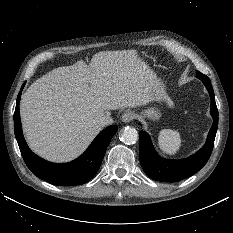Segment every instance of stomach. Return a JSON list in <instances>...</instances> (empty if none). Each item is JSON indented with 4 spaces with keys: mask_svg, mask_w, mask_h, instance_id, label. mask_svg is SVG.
<instances>
[{
    "mask_svg": "<svg viewBox=\"0 0 233 233\" xmlns=\"http://www.w3.org/2000/svg\"><path fill=\"white\" fill-rule=\"evenodd\" d=\"M152 91L157 102H164L168 99L166 86L160 78L154 80ZM142 116L150 120H158L161 117L160 110L157 107H150L142 111Z\"/></svg>",
    "mask_w": 233,
    "mask_h": 233,
    "instance_id": "1",
    "label": "stomach"
}]
</instances>
